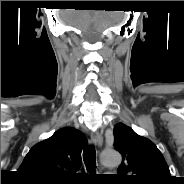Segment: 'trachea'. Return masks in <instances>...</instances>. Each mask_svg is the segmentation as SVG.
<instances>
[{
	"instance_id": "obj_1",
	"label": "trachea",
	"mask_w": 184,
	"mask_h": 184,
	"mask_svg": "<svg viewBox=\"0 0 184 184\" xmlns=\"http://www.w3.org/2000/svg\"><path fill=\"white\" fill-rule=\"evenodd\" d=\"M83 160L87 171L93 173L96 166V151L93 146H89L84 150Z\"/></svg>"
}]
</instances>
